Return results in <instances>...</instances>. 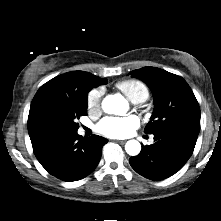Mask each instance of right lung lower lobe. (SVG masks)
Segmentation results:
<instances>
[{
  "mask_svg": "<svg viewBox=\"0 0 221 221\" xmlns=\"http://www.w3.org/2000/svg\"><path fill=\"white\" fill-rule=\"evenodd\" d=\"M106 138L93 135L83 138L74 133H62L48 142L36 158L45 170L63 181L72 182L88 176L97 167Z\"/></svg>",
  "mask_w": 221,
  "mask_h": 221,
  "instance_id": "right-lung-lower-lobe-1",
  "label": "right lung lower lobe"
}]
</instances>
